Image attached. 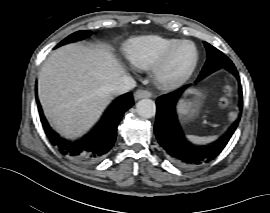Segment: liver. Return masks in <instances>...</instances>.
<instances>
[{"label": "liver", "instance_id": "6515ba94", "mask_svg": "<svg viewBox=\"0 0 270 213\" xmlns=\"http://www.w3.org/2000/svg\"><path fill=\"white\" fill-rule=\"evenodd\" d=\"M125 70L107 46L65 45L50 54L38 77V95L52 126L79 137L99 119L113 98L112 85Z\"/></svg>", "mask_w": 270, "mask_h": 213}]
</instances>
